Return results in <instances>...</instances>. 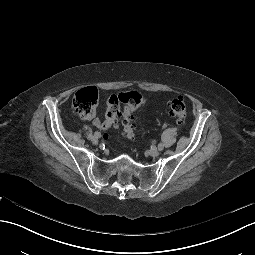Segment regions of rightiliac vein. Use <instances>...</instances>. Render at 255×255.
<instances>
[{"mask_svg": "<svg viewBox=\"0 0 255 255\" xmlns=\"http://www.w3.org/2000/svg\"><path fill=\"white\" fill-rule=\"evenodd\" d=\"M98 142H99V141H98V137L93 136V137H92V143L95 144V145H97Z\"/></svg>", "mask_w": 255, "mask_h": 255, "instance_id": "obj_1", "label": "right iliac vein"}]
</instances>
